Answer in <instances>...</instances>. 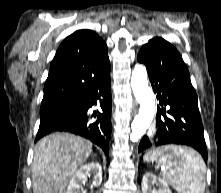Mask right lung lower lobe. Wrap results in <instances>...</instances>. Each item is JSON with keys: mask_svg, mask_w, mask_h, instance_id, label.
I'll use <instances>...</instances> for the list:
<instances>
[{"mask_svg": "<svg viewBox=\"0 0 221 193\" xmlns=\"http://www.w3.org/2000/svg\"><path fill=\"white\" fill-rule=\"evenodd\" d=\"M100 102L102 112H88L89 108ZM96 118V119H94ZM111 84L110 64L97 73L85 90L77 98L76 110L65 118L40 126L35 141L52 132L63 131L90 139L100 146L105 154L109 152L111 136Z\"/></svg>", "mask_w": 221, "mask_h": 193, "instance_id": "right-lung-lower-lobe-1", "label": "right lung lower lobe"}]
</instances>
